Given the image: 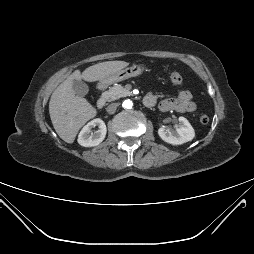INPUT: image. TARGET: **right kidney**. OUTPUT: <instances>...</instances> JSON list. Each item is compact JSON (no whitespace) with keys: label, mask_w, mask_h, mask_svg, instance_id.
Here are the masks:
<instances>
[{"label":"right kidney","mask_w":254,"mask_h":254,"mask_svg":"<svg viewBox=\"0 0 254 254\" xmlns=\"http://www.w3.org/2000/svg\"><path fill=\"white\" fill-rule=\"evenodd\" d=\"M98 126V130L93 132V128ZM107 128L105 123L99 119H93L88 122L78 135V143L84 147H93L99 145L105 138Z\"/></svg>","instance_id":"obj_1"}]
</instances>
